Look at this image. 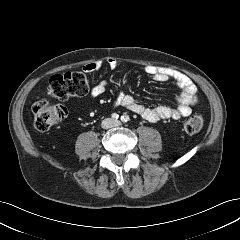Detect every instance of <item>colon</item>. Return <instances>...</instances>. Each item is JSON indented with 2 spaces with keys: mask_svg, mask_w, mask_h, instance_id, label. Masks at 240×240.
Here are the masks:
<instances>
[{
  "mask_svg": "<svg viewBox=\"0 0 240 240\" xmlns=\"http://www.w3.org/2000/svg\"><path fill=\"white\" fill-rule=\"evenodd\" d=\"M88 91V79L81 72L54 75L46 87L47 94L58 101L84 96ZM67 113V108L61 103L40 100L33 107V127L38 132L48 131L52 126L63 121ZM202 127L203 118L199 115L189 117L184 124V130L188 134L198 133Z\"/></svg>",
  "mask_w": 240,
  "mask_h": 240,
  "instance_id": "colon-1",
  "label": "colon"
}]
</instances>
